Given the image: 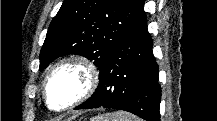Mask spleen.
<instances>
[{
    "label": "spleen",
    "mask_w": 217,
    "mask_h": 121,
    "mask_svg": "<svg viewBox=\"0 0 217 121\" xmlns=\"http://www.w3.org/2000/svg\"><path fill=\"white\" fill-rule=\"evenodd\" d=\"M92 121H137V118L126 112L118 111L94 117Z\"/></svg>",
    "instance_id": "obj_1"
}]
</instances>
